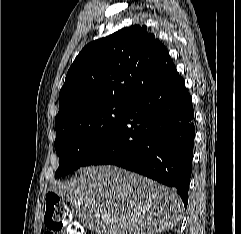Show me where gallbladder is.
Segmentation results:
<instances>
[{
	"mask_svg": "<svg viewBox=\"0 0 241 234\" xmlns=\"http://www.w3.org/2000/svg\"><path fill=\"white\" fill-rule=\"evenodd\" d=\"M73 212L75 213V215L78 217V219L84 223L86 226H89L90 222H91V218L90 216L86 215L85 212L83 210L81 211H75L73 210Z\"/></svg>",
	"mask_w": 241,
	"mask_h": 234,
	"instance_id": "bac80fb5",
	"label": "gallbladder"
}]
</instances>
